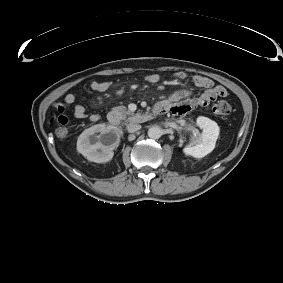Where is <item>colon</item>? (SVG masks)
<instances>
[{
	"instance_id": "5ec220e1",
	"label": "colon",
	"mask_w": 283,
	"mask_h": 283,
	"mask_svg": "<svg viewBox=\"0 0 283 283\" xmlns=\"http://www.w3.org/2000/svg\"><path fill=\"white\" fill-rule=\"evenodd\" d=\"M212 111L217 116H227L231 112V107L228 102L220 100L213 105ZM59 122L62 125L56 129V136L60 139H65L68 136V128L65 126L67 119L59 120Z\"/></svg>"
}]
</instances>
